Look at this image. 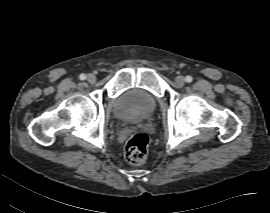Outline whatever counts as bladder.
Masks as SVG:
<instances>
[{"mask_svg": "<svg viewBox=\"0 0 270 213\" xmlns=\"http://www.w3.org/2000/svg\"><path fill=\"white\" fill-rule=\"evenodd\" d=\"M157 97L150 91L133 88L120 93L113 102L112 115L120 122L147 119L157 108Z\"/></svg>", "mask_w": 270, "mask_h": 213, "instance_id": "obj_1", "label": "bladder"}]
</instances>
